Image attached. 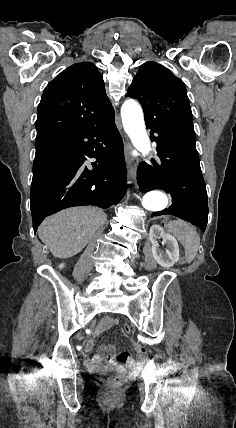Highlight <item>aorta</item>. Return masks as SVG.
<instances>
[{
  "mask_svg": "<svg viewBox=\"0 0 236 428\" xmlns=\"http://www.w3.org/2000/svg\"><path fill=\"white\" fill-rule=\"evenodd\" d=\"M121 117L124 130L131 139L133 146L143 156L148 155L151 151V145L141 106L132 99L125 101L121 107ZM167 205L168 198L162 191H150L142 198V206L152 212L162 211Z\"/></svg>",
  "mask_w": 236,
  "mask_h": 428,
  "instance_id": "obj_1",
  "label": "aorta"
}]
</instances>
